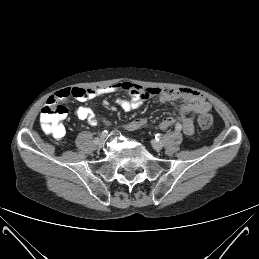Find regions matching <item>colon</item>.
Segmentation results:
<instances>
[{
  "label": "colon",
  "mask_w": 259,
  "mask_h": 259,
  "mask_svg": "<svg viewBox=\"0 0 259 259\" xmlns=\"http://www.w3.org/2000/svg\"><path fill=\"white\" fill-rule=\"evenodd\" d=\"M67 114L65 106L57 100L48 99L46 105L40 113V125L44 133L52 135L56 139H61L64 135L62 120ZM213 123V118L208 112H203L198 117V124L202 128H209Z\"/></svg>",
  "instance_id": "5ec220e1"
}]
</instances>
